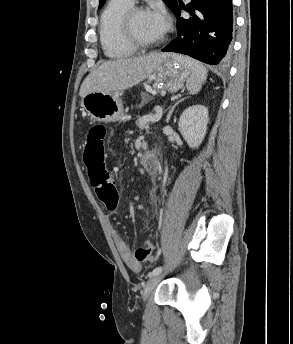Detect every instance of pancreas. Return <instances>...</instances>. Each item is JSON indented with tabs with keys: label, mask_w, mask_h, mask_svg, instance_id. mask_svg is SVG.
<instances>
[{
	"label": "pancreas",
	"mask_w": 293,
	"mask_h": 344,
	"mask_svg": "<svg viewBox=\"0 0 293 344\" xmlns=\"http://www.w3.org/2000/svg\"><path fill=\"white\" fill-rule=\"evenodd\" d=\"M143 98H144L145 101H147V100H149L150 97H149L148 95H144ZM137 125H138L140 128H145V127H146V125L141 124V119H139V120L137 121Z\"/></svg>",
	"instance_id": "obj_1"
}]
</instances>
